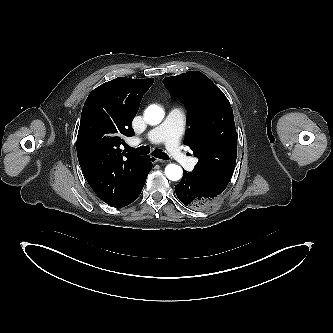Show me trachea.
Segmentation results:
<instances>
[{
  "instance_id": "obj_1",
  "label": "trachea",
  "mask_w": 333,
  "mask_h": 333,
  "mask_svg": "<svg viewBox=\"0 0 333 333\" xmlns=\"http://www.w3.org/2000/svg\"><path fill=\"white\" fill-rule=\"evenodd\" d=\"M125 150L128 151V152H131V153H134V154H138V155H146V154H149L150 152V148L148 146H141V147H138V148H132L128 145L125 146ZM154 157H157L159 159H169V156L160 151V150H154L152 151L151 153Z\"/></svg>"
}]
</instances>
